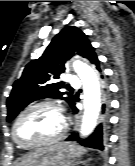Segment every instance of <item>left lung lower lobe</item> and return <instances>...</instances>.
Returning <instances> with one entry per match:
<instances>
[{"instance_id": "1", "label": "left lung lower lobe", "mask_w": 135, "mask_h": 166, "mask_svg": "<svg viewBox=\"0 0 135 166\" xmlns=\"http://www.w3.org/2000/svg\"><path fill=\"white\" fill-rule=\"evenodd\" d=\"M92 64L96 66V69L101 72L100 69V62L97 58V56L91 61ZM101 78H103V75H101ZM107 88H103V98L104 103L101 106V112L103 114L102 122L96 127L94 132L85 140L80 141V144L86 147L98 149V150H104L106 139H107V127H108V117H109V104L107 102ZM73 112L77 113L78 109L75 107V100L73 104L71 105ZM79 140L78 133L73 132L72 135L67 139V141H74Z\"/></svg>"}]
</instances>
